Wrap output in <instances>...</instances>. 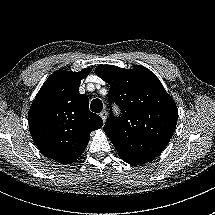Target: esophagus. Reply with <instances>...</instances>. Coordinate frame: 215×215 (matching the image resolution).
<instances>
[{
    "label": "esophagus",
    "instance_id": "34e87169",
    "mask_svg": "<svg viewBox=\"0 0 215 215\" xmlns=\"http://www.w3.org/2000/svg\"><path fill=\"white\" fill-rule=\"evenodd\" d=\"M100 117L102 118L103 122H105L107 119V111L106 110L102 111L100 113Z\"/></svg>",
    "mask_w": 215,
    "mask_h": 215
}]
</instances>
